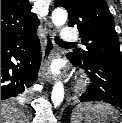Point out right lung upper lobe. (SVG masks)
Returning a JSON list of instances; mask_svg holds the SVG:
<instances>
[{
  "instance_id": "obj_1",
  "label": "right lung upper lobe",
  "mask_w": 122,
  "mask_h": 123,
  "mask_svg": "<svg viewBox=\"0 0 122 123\" xmlns=\"http://www.w3.org/2000/svg\"><path fill=\"white\" fill-rule=\"evenodd\" d=\"M28 0H1V37H26L36 33L39 19Z\"/></svg>"
}]
</instances>
